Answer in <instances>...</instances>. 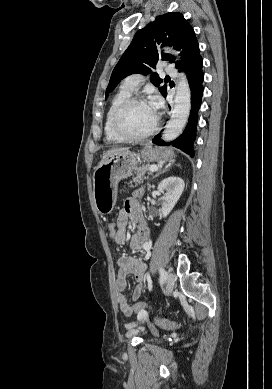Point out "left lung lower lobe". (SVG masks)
Wrapping results in <instances>:
<instances>
[{
  "label": "left lung lower lobe",
  "mask_w": 272,
  "mask_h": 389,
  "mask_svg": "<svg viewBox=\"0 0 272 389\" xmlns=\"http://www.w3.org/2000/svg\"><path fill=\"white\" fill-rule=\"evenodd\" d=\"M203 60L200 55L199 46L193 51L186 65L182 70L187 74L188 82L191 89V111L188 124L183 132L177 139L170 143H165L160 140V134L156 135L152 142L159 146L172 145L181 149L187 154L194 155L193 142L196 135V126L198 119V110L201 105V99L203 95V78L204 73L202 71Z\"/></svg>",
  "instance_id": "1"
}]
</instances>
